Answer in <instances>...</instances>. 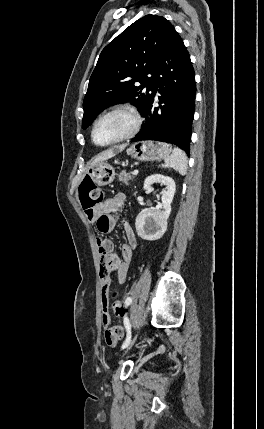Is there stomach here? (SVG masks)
Wrapping results in <instances>:
<instances>
[{
    "label": "stomach",
    "mask_w": 264,
    "mask_h": 429,
    "mask_svg": "<svg viewBox=\"0 0 264 429\" xmlns=\"http://www.w3.org/2000/svg\"><path fill=\"white\" fill-rule=\"evenodd\" d=\"M172 148L169 144L155 141H141L132 144L127 153L139 161H155L165 159ZM87 175L98 185L111 183L115 178L114 168L107 162H98L89 167Z\"/></svg>",
    "instance_id": "obj_1"
}]
</instances>
